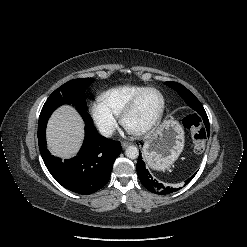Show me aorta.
<instances>
[{
  "label": "aorta",
  "mask_w": 247,
  "mask_h": 247,
  "mask_svg": "<svg viewBox=\"0 0 247 247\" xmlns=\"http://www.w3.org/2000/svg\"><path fill=\"white\" fill-rule=\"evenodd\" d=\"M125 155L130 159H136L139 155V150L136 146L130 145L126 148Z\"/></svg>",
  "instance_id": "aorta-1"
}]
</instances>
